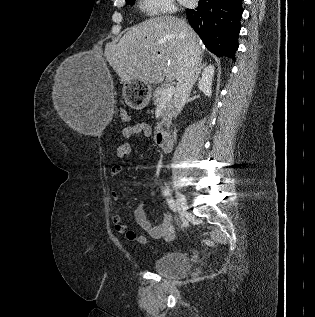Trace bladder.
<instances>
[{
    "label": "bladder",
    "mask_w": 315,
    "mask_h": 317,
    "mask_svg": "<svg viewBox=\"0 0 315 317\" xmlns=\"http://www.w3.org/2000/svg\"><path fill=\"white\" fill-rule=\"evenodd\" d=\"M153 269L162 275L182 277L189 273L191 264L186 254L181 252H169L155 259Z\"/></svg>",
    "instance_id": "31cf9c89"
}]
</instances>
